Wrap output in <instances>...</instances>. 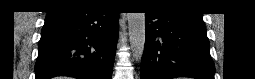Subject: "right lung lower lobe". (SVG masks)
Segmentation results:
<instances>
[{
	"label": "right lung lower lobe",
	"mask_w": 255,
	"mask_h": 79,
	"mask_svg": "<svg viewBox=\"0 0 255 79\" xmlns=\"http://www.w3.org/2000/svg\"><path fill=\"white\" fill-rule=\"evenodd\" d=\"M117 36L118 12L107 11L102 5L48 12L39 41L35 79H111Z\"/></svg>",
	"instance_id": "obj_1"
}]
</instances>
